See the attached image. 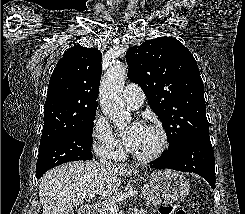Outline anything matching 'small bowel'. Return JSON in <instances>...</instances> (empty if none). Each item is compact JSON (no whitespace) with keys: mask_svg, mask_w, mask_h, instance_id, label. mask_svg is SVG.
<instances>
[{"mask_svg":"<svg viewBox=\"0 0 245 214\" xmlns=\"http://www.w3.org/2000/svg\"><path fill=\"white\" fill-rule=\"evenodd\" d=\"M133 214H146V212L143 209H137Z\"/></svg>","mask_w":245,"mask_h":214,"instance_id":"obj_1","label":"small bowel"}]
</instances>
